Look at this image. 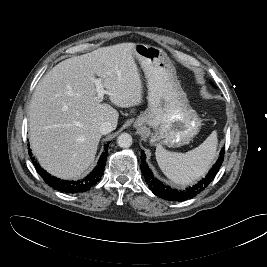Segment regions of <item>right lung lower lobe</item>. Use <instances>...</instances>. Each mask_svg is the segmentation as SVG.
<instances>
[{
    "label": "right lung lower lobe",
    "instance_id": "obj_1",
    "mask_svg": "<svg viewBox=\"0 0 267 267\" xmlns=\"http://www.w3.org/2000/svg\"><path fill=\"white\" fill-rule=\"evenodd\" d=\"M108 144L105 146L104 152L102 153L96 168L92 171L90 175H88L86 178L82 179L81 181H66V180H60V179H57L51 176L49 173L43 170L36 161H34V158L32 157V153L30 152L29 148L28 150H29V155L31 156L32 162L35 165L37 172L40 174V176L49 186H51L55 190H58L64 193H78V192H85L89 190L90 187L95 185L103 176L105 162L107 159Z\"/></svg>",
    "mask_w": 267,
    "mask_h": 267
}]
</instances>
